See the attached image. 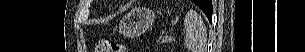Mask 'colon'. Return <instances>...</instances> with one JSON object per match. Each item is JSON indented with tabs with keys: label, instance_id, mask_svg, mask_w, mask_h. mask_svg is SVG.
Returning <instances> with one entry per match:
<instances>
[{
	"label": "colon",
	"instance_id": "colon-1",
	"mask_svg": "<svg viewBox=\"0 0 305 52\" xmlns=\"http://www.w3.org/2000/svg\"><path fill=\"white\" fill-rule=\"evenodd\" d=\"M126 47L115 41V40H108L103 39L100 40L95 48V52H126Z\"/></svg>",
	"mask_w": 305,
	"mask_h": 52
}]
</instances>
